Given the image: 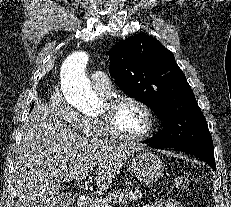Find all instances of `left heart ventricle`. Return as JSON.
Returning <instances> with one entry per match:
<instances>
[{
	"label": "left heart ventricle",
	"mask_w": 231,
	"mask_h": 207,
	"mask_svg": "<svg viewBox=\"0 0 231 207\" xmlns=\"http://www.w3.org/2000/svg\"><path fill=\"white\" fill-rule=\"evenodd\" d=\"M105 109L103 104L100 114ZM117 127L126 135L136 136L144 132L147 127L145 112L138 105L131 102H124L118 106L114 114Z\"/></svg>",
	"instance_id": "obj_1"
}]
</instances>
